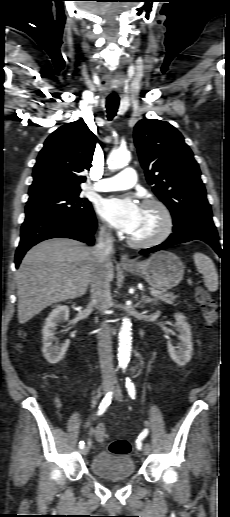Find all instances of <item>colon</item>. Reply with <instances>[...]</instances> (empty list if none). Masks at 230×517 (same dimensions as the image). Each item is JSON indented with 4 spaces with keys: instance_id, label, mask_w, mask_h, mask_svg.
<instances>
[{
    "instance_id": "obj_1",
    "label": "colon",
    "mask_w": 230,
    "mask_h": 517,
    "mask_svg": "<svg viewBox=\"0 0 230 517\" xmlns=\"http://www.w3.org/2000/svg\"><path fill=\"white\" fill-rule=\"evenodd\" d=\"M195 299L199 304L203 317L209 328H212L218 319V308L210 294L199 284H195ZM106 432L101 429L98 440L104 441ZM109 450L113 454H128L131 451V443L127 439H117L109 444Z\"/></svg>"
}]
</instances>
